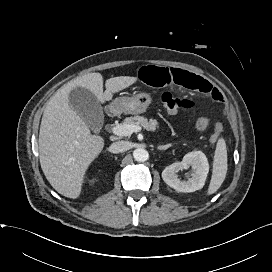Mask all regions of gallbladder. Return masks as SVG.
I'll return each mask as SVG.
<instances>
[{"label":"gallbladder","mask_w":272,"mask_h":272,"mask_svg":"<svg viewBox=\"0 0 272 272\" xmlns=\"http://www.w3.org/2000/svg\"><path fill=\"white\" fill-rule=\"evenodd\" d=\"M69 105L94 131H100L104 114L96 96L86 88L75 87L69 93Z\"/></svg>","instance_id":"1"}]
</instances>
